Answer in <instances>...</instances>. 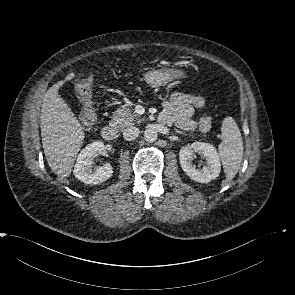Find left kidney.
Here are the masks:
<instances>
[{"label":"left kidney","instance_id":"left-kidney-1","mask_svg":"<svg viewBox=\"0 0 295 295\" xmlns=\"http://www.w3.org/2000/svg\"><path fill=\"white\" fill-rule=\"evenodd\" d=\"M198 153L206 158L202 169H197L192 162ZM180 164L183 171L194 181L208 183L219 176L221 164L213 145L203 142H194L190 146L182 147L179 152Z\"/></svg>","mask_w":295,"mask_h":295}]
</instances>
